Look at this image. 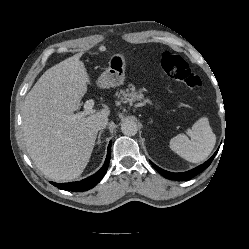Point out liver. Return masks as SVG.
Instances as JSON below:
<instances>
[{
    "instance_id": "1",
    "label": "liver",
    "mask_w": 249,
    "mask_h": 249,
    "mask_svg": "<svg viewBox=\"0 0 249 249\" xmlns=\"http://www.w3.org/2000/svg\"><path fill=\"white\" fill-rule=\"evenodd\" d=\"M75 54L49 68L26 95L23 136L37 168L57 182L79 177L87 166L97 137L94 123L110 114L108 108L70 119L81 106L90 83L86 68Z\"/></svg>"
}]
</instances>
